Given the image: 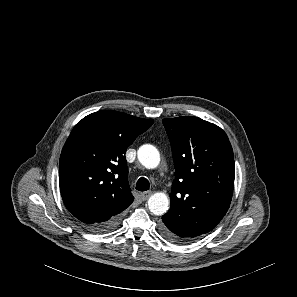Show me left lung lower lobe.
Instances as JSON below:
<instances>
[{
  "label": "left lung lower lobe",
  "instance_id": "left-lung-lower-lobe-1",
  "mask_svg": "<svg viewBox=\"0 0 297 297\" xmlns=\"http://www.w3.org/2000/svg\"><path fill=\"white\" fill-rule=\"evenodd\" d=\"M162 225H161V233L163 236L175 243H187L189 240L179 236L180 232L177 231L176 226L174 224V220L171 215H163L162 216Z\"/></svg>",
  "mask_w": 297,
  "mask_h": 297
}]
</instances>
